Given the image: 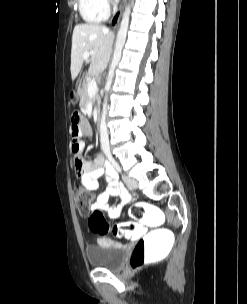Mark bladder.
<instances>
[{
    "mask_svg": "<svg viewBox=\"0 0 247 304\" xmlns=\"http://www.w3.org/2000/svg\"><path fill=\"white\" fill-rule=\"evenodd\" d=\"M127 248L118 243H103L86 248V257L90 267L106 270H118L124 263Z\"/></svg>",
    "mask_w": 247,
    "mask_h": 304,
    "instance_id": "1",
    "label": "bladder"
}]
</instances>
